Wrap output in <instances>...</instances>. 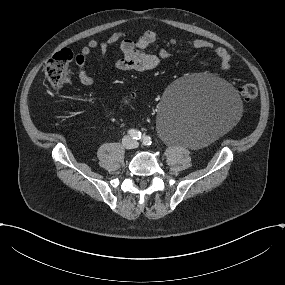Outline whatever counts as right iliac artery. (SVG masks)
Listing matches in <instances>:
<instances>
[{"label": "right iliac artery", "mask_w": 285, "mask_h": 285, "mask_svg": "<svg viewBox=\"0 0 285 285\" xmlns=\"http://www.w3.org/2000/svg\"><path fill=\"white\" fill-rule=\"evenodd\" d=\"M128 134H129V136L132 138V139H135V140H139V139H141V132L140 131H138V130H136V129H130L129 131H128Z\"/></svg>", "instance_id": "1"}]
</instances>
